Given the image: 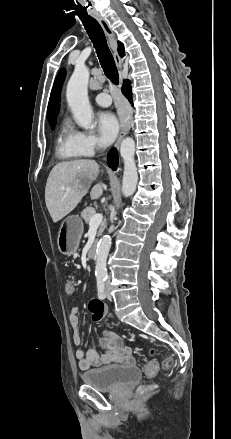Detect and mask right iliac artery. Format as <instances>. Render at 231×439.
Returning a JSON list of instances; mask_svg holds the SVG:
<instances>
[{
  "label": "right iliac artery",
  "instance_id": "82829eb1",
  "mask_svg": "<svg viewBox=\"0 0 231 439\" xmlns=\"http://www.w3.org/2000/svg\"><path fill=\"white\" fill-rule=\"evenodd\" d=\"M106 279L98 278L97 279V288H98V296L100 299H104L106 297L105 291H104V283Z\"/></svg>",
  "mask_w": 231,
  "mask_h": 439
}]
</instances>
